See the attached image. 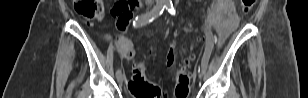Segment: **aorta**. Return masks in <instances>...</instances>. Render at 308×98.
Instances as JSON below:
<instances>
[{
  "label": "aorta",
  "mask_w": 308,
  "mask_h": 98,
  "mask_svg": "<svg viewBox=\"0 0 308 98\" xmlns=\"http://www.w3.org/2000/svg\"><path fill=\"white\" fill-rule=\"evenodd\" d=\"M162 2L164 4H167V5H172V1L171 0H162Z\"/></svg>",
  "instance_id": "1"
}]
</instances>
